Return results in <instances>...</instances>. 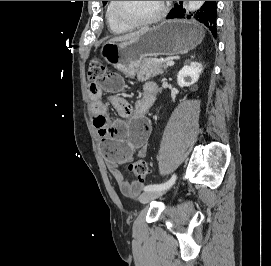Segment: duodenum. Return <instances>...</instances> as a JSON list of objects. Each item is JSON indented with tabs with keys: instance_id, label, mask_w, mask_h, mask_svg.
Returning <instances> with one entry per match:
<instances>
[{
	"instance_id": "1",
	"label": "duodenum",
	"mask_w": 271,
	"mask_h": 266,
	"mask_svg": "<svg viewBox=\"0 0 271 266\" xmlns=\"http://www.w3.org/2000/svg\"><path fill=\"white\" fill-rule=\"evenodd\" d=\"M158 88L153 86L152 89L150 90L149 94L151 96H155L157 94Z\"/></svg>"
}]
</instances>
